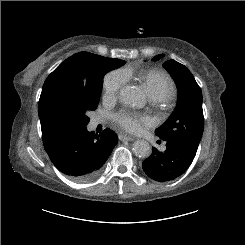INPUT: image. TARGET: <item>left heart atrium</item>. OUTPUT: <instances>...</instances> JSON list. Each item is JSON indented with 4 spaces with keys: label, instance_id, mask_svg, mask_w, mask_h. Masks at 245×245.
Instances as JSON below:
<instances>
[{
    "label": "left heart atrium",
    "instance_id": "1",
    "mask_svg": "<svg viewBox=\"0 0 245 245\" xmlns=\"http://www.w3.org/2000/svg\"><path fill=\"white\" fill-rule=\"evenodd\" d=\"M113 119L118 126L131 133L138 132L142 125L148 123L146 117L124 110L116 113Z\"/></svg>",
    "mask_w": 245,
    "mask_h": 245
}]
</instances>
